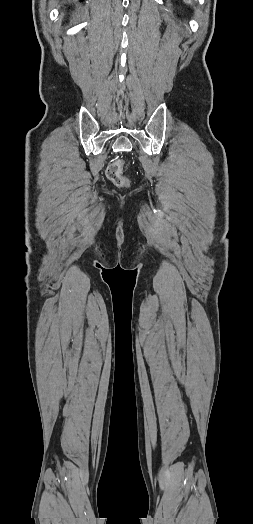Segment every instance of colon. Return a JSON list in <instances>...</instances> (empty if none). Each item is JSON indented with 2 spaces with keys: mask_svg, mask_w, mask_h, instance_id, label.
Masks as SVG:
<instances>
[{
  "mask_svg": "<svg viewBox=\"0 0 253 524\" xmlns=\"http://www.w3.org/2000/svg\"><path fill=\"white\" fill-rule=\"evenodd\" d=\"M106 176L118 187L128 185V178L123 172V162L120 159H116L108 165Z\"/></svg>",
  "mask_w": 253,
  "mask_h": 524,
  "instance_id": "colon-1",
  "label": "colon"
}]
</instances>
